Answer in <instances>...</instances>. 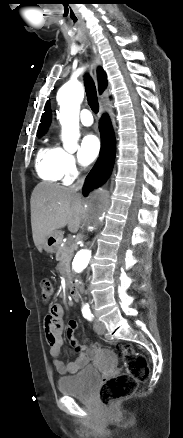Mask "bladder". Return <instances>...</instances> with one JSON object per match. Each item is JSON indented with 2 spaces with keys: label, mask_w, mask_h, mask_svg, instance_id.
Masks as SVG:
<instances>
[{
  "label": "bladder",
  "mask_w": 183,
  "mask_h": 438,
  "mask_svg": "<svg viewBox=\"0 0 183 438\" xmlns=\"http://www.w3.org/2000/svg\"><path fill=\"white\" fill-rule=\"evenodd\" d=\"M99 382L98 371L94 367H87L74 376L59 379L57 388L63 395L88 399Z\"/></svg>",
  "instance_id": "31cf9c89"
}]
</instances>
